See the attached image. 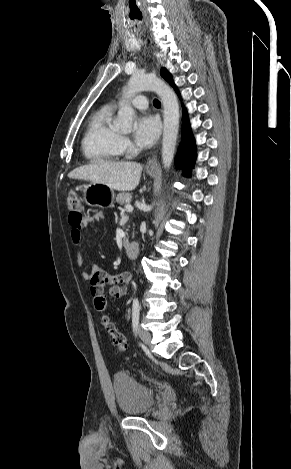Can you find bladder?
<instances>
[{
	"mask_svg": "<svg viewBox=\"0 0 291 469\" xmlns=\"http://www.w3.org/2000/svg\"><path fill=\"white\" fill-rule=\"evenodd\" d=\"M113 390L120 412L127 416L144 414L155 403V395L151 389L123 372L114 375Z\"/></svg>",
	"mask_w": 291,
	"mask_h": 469,
	"instance_id": "bladder-1",
	"label": "bladder"
}]
</instances>
